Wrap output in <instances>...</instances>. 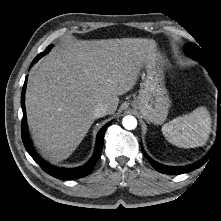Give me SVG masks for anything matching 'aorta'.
Instances as JSON below:
<instances>
[{"label": "aorta", "mask_w": 221, "mask_h": 221, "mask_svg": "<svg viewBox=\"0 0 221 221\" xmlns=\"http://www.w3.org/2000/svg\"><path fill=\"white\" fill-rule=\"evenodd\" d=\"M122 124L125 129L133 130L137 126V120L134 116L128 115L123 118Z\"/></svg>", "instance_id": "762f6f07"}]
</instances>
